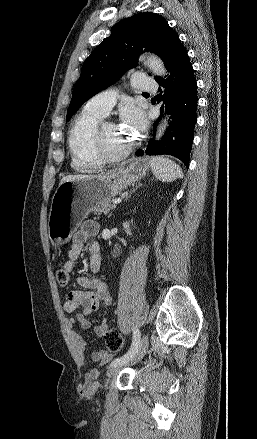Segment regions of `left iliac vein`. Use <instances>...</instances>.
I'll list each match as a JSON object with an SVG mask.
<instances>
[{"mask_svg": "<svg viewBox=\"0 0 257 439\" xmlns=\"http://www.w3.org/2000/svg\"><path fill=\"white\" fill-rule=\"evenodd\" d=\"M148 348V338L146 336H143L142 339L139 342V346L136 350V352L132 355V357H130L127 361L117 364L115 366H113L112 368H110L107 371V377L111 378L113 376H115L120 369H122L123 367L130 365V364H135L136 362H138L141 358H143L144 354L146 353V350Z\"/></svg>", "mask_w": 257, "mask_h": 439, "instance_id": "left-iliac-vein-1", "label": "left iliac vein"}]
</instances>
